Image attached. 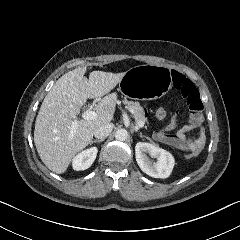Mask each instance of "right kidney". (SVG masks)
<instances>
[{"label":"right kidney","mask_w":240,"mask_h":240,"mask_svg":"<svg viewBox=\"0 0 240 240\" xmlns=\"http://www.w3.org/2000/svg\"><path fill=\"white\" fill-rule=\"evenodd\" d=\"M97 152V147H91L76 155L72 160L73 169L76 171L88 169L96 159Z\"/></svg>","instance_id":"1"}]
</instances>
